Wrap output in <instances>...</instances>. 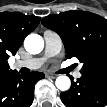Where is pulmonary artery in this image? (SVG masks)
Here are the masks:
<instances>
[{"label": "pulmonary artery", "mask_w": 107, "mask_h": 107, "mask_svg": "<svg viewBox=\"0 0 107 107\" xmlns=\"http://www.w3.org/2000/svg\"><path fill=\"white\" fill-rule=\"evenodd\" d=\"M43 37L45 41L44 55L41 58H32L23 61H18L16 63V67L37 69L43 65V63L46 61L47 58L51 56H55L60 52L62 47V40L57 33L47 30L44 32ZM74 76L76 78H79L81 76V73L79 71H76L74 73Z\"/></svg>", "instance_id": "1"}]
</instances>
